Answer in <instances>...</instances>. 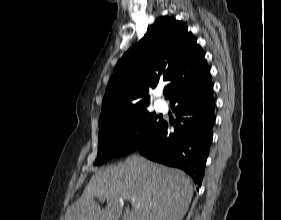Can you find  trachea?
Instances as JSON below:
<instances>
[{
  "instance_id": "3493384b",
  "label": "trachea",
  "mask_w": 281,
  "mask_h": 220,
  "mask_svg": "<svg viewBox=\"0 0 281 220\" xmlns=\"http://www.w3.org/2000/svg\"><path fill=\"white\" fill-rule=\"evenodd\" d=\"M168 91V88H164V94H166Z\"/></svg>"
}]
</instances>
